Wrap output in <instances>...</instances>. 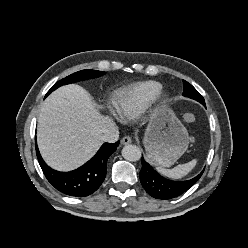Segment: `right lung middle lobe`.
Masks as SVG:
<instances>
[{
  "label": "right lung middle lobe",
  "instance_id": "1",
  "mask_svg": "<svg viewBox=\"0 0 248 248\" xmlns=\"http://www.w3.org/2000/svg\"><path fill=\"white\" fill-rule=\"evenodd\" d=\"M102 75H104V72L97 71V70L86 69V70L78 71V72L73 73V74L69 75L68 77L58 81L57 83H55L51 87V89L48 91L46 96L49 95L52 91H54L55 89H57L58 87H60L62 85L78 82L81 80L97 78V77H100Z\"/></svg>",
  "mask_w": 248,
  "mask_h": 248
}]
</instances>
